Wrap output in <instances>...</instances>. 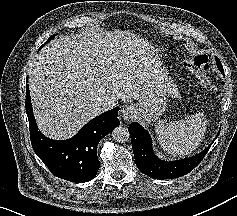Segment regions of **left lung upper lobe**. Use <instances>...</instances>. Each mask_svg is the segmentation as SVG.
<instances>
[{
    "instance_id": "5c2ea615",
    "label": "left lung upper lobe",
    "mask_w": 237,
    "mask_h": 216,
    "mask_svg": "<svg viewBox=\"0 0 237 216\" xmlns=\"http://www.w3.org/2000/svg\"><path fill=\"white\" fill-rule=\"evenodd\" d=\"M216 62H217V66H218L219 70H220L222 73H224L223 67H222V65H221V63H220V61H219V59H218L217 57H216Z\"/></svg>"
}]
</instances>
